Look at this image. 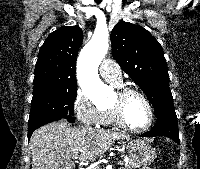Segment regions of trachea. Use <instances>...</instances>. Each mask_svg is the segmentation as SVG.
I'll list each match as a JSON object with an SVG mask.
<instances>
[{"label":"trachea","instance_id":"trachea-1","mask_svg":"<svg viewBox=\"0 0 200 169\" xmlns=\"http://www.w3.org/2000/svg\"><path fill=\"white\" fill-rule=\"evenodd\" d=\"M95 2H96L97 4H99V3L102 2V0H95Z\"/></svg>","mask_w":200,"mask_h":169}]
</instances>
